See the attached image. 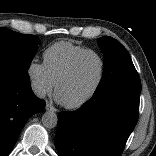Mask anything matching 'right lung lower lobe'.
Returning a JSON list of instances; mask_svg holds the SVG:
<instances>
[{
	"label": "right lung lower lobe",
	"mask_w": 156,
	"mask_h": 156,
	"mask_svg": "<svg viewBox=\"0 0 156 156\" xmlns=\"http://www.w3.org/2000/svg\"><path fill=\"white\" fill-rule=\"evenodd\" d=\"M44 107L32 93L30 78L0 72V156L11 152L27 120Z\"/></svg>",
	"instance_id": "1"
}]
</instances>
